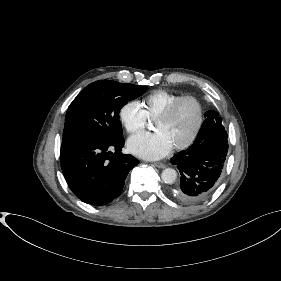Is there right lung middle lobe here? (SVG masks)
Segmentation results:
<instances>
[{
	"label": "right lung middle lobe",
	"instance_id": "right-lung-middle-lobe-1",
	"mask_svg": "<svg viewBox=\"0 0 281 281\" xmlns=\"http://www.w3.org/2000/svg\"><path fill=\"white\" fill-rule=\"evenodd\" d=\"M148 87L99 80L89 84L69 105L61 152L81 143H102L123 137L120 109Z\"/></svg>",
	"mask_w": 281,
	"mask_h": 281
}]
</instances>
